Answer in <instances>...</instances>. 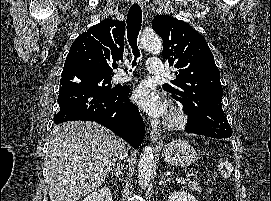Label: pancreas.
Masks as SVG:
<instances>
[{
  "label": "pancreas",
  "mask_w": 271,
  "mask_h": 201,
  "mask_svg": "<svg viewBox=\"0 0 271 201\" xmlns=\"http://www.w3.org/2000/svg\"><path fill=\"white\" fill-rule=\"evenodd\" d=\"M183 184H187V186L191 189L194 190L196 192H201L202 189L198 186V183L196 181H190L188 183H183Z\"/></svg>",
  "instance_id": "obj_1"
}]
</instances>
